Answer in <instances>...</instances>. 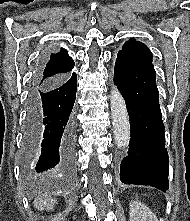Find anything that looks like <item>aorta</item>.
I'll list each match as a JSON object with an SVG mask.
<instances>
[{
    "instance_id": "762f6f07",
    "label": "aorta",
    "mask_w": 190,
    "mask_h": 221,
    "mask_svg": "<svg viewBox=\"0 0 190 221\" xmlns=\"http://www.w3.org/2000/svg\"><path fill=\"white\" fill-rule=\"evenodd\" d=\"M110 105L115 143L119 148H125L130 140L129 116L125 101L116 87L111 91Z\"/></svg>"
}]
</instances>
